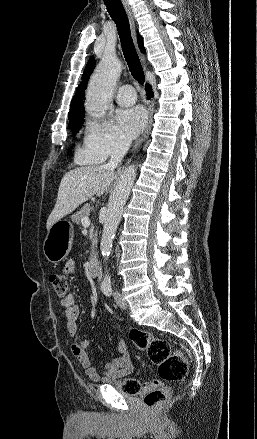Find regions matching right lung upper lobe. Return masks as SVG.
<instances>
[{
  "label": "right lung upper lobe",
  "instance_id": "1",
  "mask_svg": "<svg viewBox=\"0 0 257 439\" xmlns=\"http://www.w3.org/2000/svg\"><path fill=\"white\" fill-rule=\"evenodd\" d=\"M137 40H138L140 50L143 53H145V48L143 46V39L139 34L137 35ZM94 67H95V58L90 57L87 65H86V68L83 72L82 81L80 82L79 86L77 87L76 94L71 101V105H70L71 108H70V112L68 114H71V113L84 114L83 99L85 97L86 84L88 82L89 76L91 75Z\"/></svg>",
  "mask_w": 257,
  "mask_h": 439
}]
</instances>
